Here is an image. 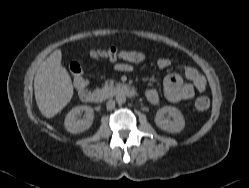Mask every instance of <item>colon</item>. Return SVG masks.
<instances>
[{
    "mask_svg": "<svg viewBox=\"0 0 249 188\" xmlns=\"http://www.w3.org/2000/svg\"><path fill=\"white\" fill-rule=\"evenodd\" d=\"M91 57L94 59H108L111 61H115L118 59H129L134 58L137 59L138 56L134 55L128 51H121L115 47H110L107 50H96L91 52ZM69 70L72 76V82L75 89L78 91L79 95L82 98H85L88 88V81L84 76V72L81 68V65L73 61L69 65ZM210 105V101L206 96H201L196 100L195 107L198 111H205L208 109Z\"/></svg>",
    "mask_w": 249,
    "mask_h": 188,
    "instance_id": "1",
    "label": "colon"
}]
</instances>
